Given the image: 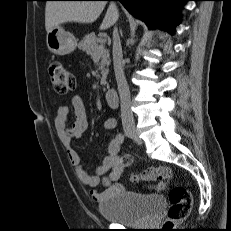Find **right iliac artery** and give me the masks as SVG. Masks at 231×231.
Masks as SVG:
<instances>
[{"label": "right iliac artery", "instance_id": "obj_1", "mask_svg": "<svg viewBox=\"0 0 231 231\" xmlns=\"http://www.w3.org/2000/svg\"><path fill=\"white\" fill-rule=\"evenodd\" d=\"M116 139H117V141H118L119 143L122 144L123 141H124V135L121 134V133H119V134L117 135Z\"/></svg>", "mask_w": 231, "mask_h": 231}]
</instances>
